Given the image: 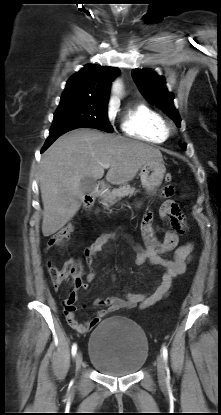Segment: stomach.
Listing matches in <instances>:
<instances>
[{"mask_svg":"<svg viewBox=\"0 0 221 415\" xmlns=\"http://www.w3.org/2000/svg\"><path fill=\"white\" fill-rule=\"evenodd\" d=\"M166 168L162 160H153L145 163L140 170V179L143 188L153 193L162 184Z\"/></svg>","mask_w":221,"mask_h":415,"instance_id":"stomach-1","label":"stomach"}]
</instances>
